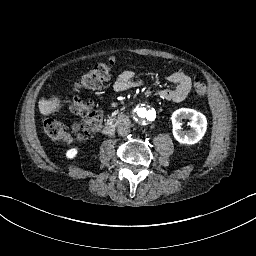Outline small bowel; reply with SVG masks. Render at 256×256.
I'll list each match as a JSON object with an SVG mask.
<instances>
[{
    "label": "small bowel",
    "mask_w": 256,
    "mask_h": 256,
    "mask_svg": "<svg viewBox=\"0 0 256 256\" xmlns=\"http://www.w3.org/2000/svg\"><path fill=\"white\" fill-rule=\"evenodd\" d=\"M167 79L176 86L158 90L157 95L173 102H181L186 99L192 89L191 78L183 72H175L169 75ZM140 86L141 84L134 80V73L129 70L123 71L113 84L116 91H126Z\"/></svg>",
    "instance_id": "small-bowel-1"
}]
</instances>
